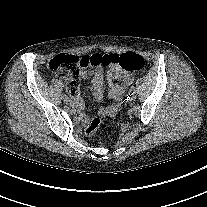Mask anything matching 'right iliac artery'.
<instances>
[{
    "label": "right iliac artery",
    "mask_w": 207,
    "mask_h": 207,
    "mask_svg": "<svg viewBox=\"0 0 207 207\" xmlns=\"http://www.w3.org/2000/svg\"><path fill=\"white\" fill-rule=\"evenodd\" d=\"M62 98H63V99H66V98H67V96H66V95H63V96H62Z\"/></svg>",
    "instance_id": "right-iliac-artery-1"
}]
</instances>
